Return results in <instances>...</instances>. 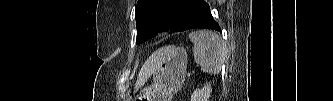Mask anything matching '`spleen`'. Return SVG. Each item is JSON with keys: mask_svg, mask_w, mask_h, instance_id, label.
I'll list each match as a JSON object with an SVG mask.
<instances>
[{"mask_svg": "<svg viewBox=\"0 0 333 101\" xmlns=\"http://www.w3.org/2000/svg\"><path fill=\"white\" fill-rule=\"evenodd\" d=\"M194 44V60L201 70L209 74H218L227 57V46L221 37L211 31H196L189 34Z\"/></svg>", "mask_w": 333, "mask_h": 101, "instance_id": "spleen-1", "label": "spleen"}]
</instances>
